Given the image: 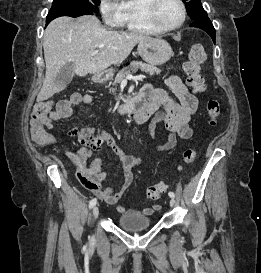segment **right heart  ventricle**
I'll list each match as a JSON object with an SVG mask.
<instances>
[{
  "mask_svg": "<svg viewBox=\"0 0 261 273\" xmlns=\"http://www.w3.org/2000/svg\"><path fill=\"white\" fill-rule=\"evenodd\" d=\"M150 0H120L117 25L129 32L155 35L160 31L148 19Z\"/></svg>",
  "mask_w": 261,
  "mask_h": 273,
  "instance_id": "right-heart-ventricle-1",
  "label": "right heart ventricle"
}]
</instances>
